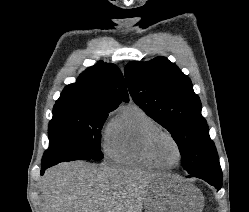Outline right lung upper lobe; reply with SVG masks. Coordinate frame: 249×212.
<instances>
[{
  "label": "right lung upper lobe",
  "instance_id": "obj_1",
  "mask_svg": "<svg viewBox=\"0 0 249 212\" xmlns=\"http://www.w3.org/2000/svg\"><path fill=\"white\" fill-rule=\"evenodd\" d=\"M122 101H129L122 73L114 64L98 62L84 71L77 83L66 86L56 102L116 109Z\"/></svg>",
  "mask_w": 249,
  "mask_h": 212
}]
</instances>
